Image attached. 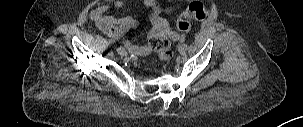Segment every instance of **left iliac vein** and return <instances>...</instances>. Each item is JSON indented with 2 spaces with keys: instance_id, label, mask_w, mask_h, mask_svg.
<instances>
[{
  "instance_id": "left-iliac-vein-1",
  "label": "left iliac vein",
  "mask_w": 303,
  "mask_h": 127,
  "mask_svg": "<svg viewBox=\"0 0 303 127\" xmlns=\"http://www.w3.org/2000/svg\"><path fill=\"white\" fill-rule=\"evenodd\" d=\"M179 52L181 55H185V49L181 46H179Z\"/></svg>"
}]
</instances>
